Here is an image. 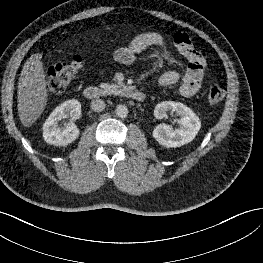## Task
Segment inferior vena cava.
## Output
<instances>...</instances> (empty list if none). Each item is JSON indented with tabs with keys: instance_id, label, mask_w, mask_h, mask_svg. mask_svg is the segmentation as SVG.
<instances>
[{
	"instance_id": "obj_1",
	"label": "inferior vena cava",
	"mask_w": 263,
	"mask_h": 263,
	"mask_svg": "<svg viewBox=\"0 0 263 263\" xmlns=\"http://www.w3.org/2000/svg\"><path fill=\"white\" fill-rule=\"evenodd\" d=\"M105 108V102L102 99H94L91 102V109L95 112H101Z\"/></svg>"
}]
</instances>
